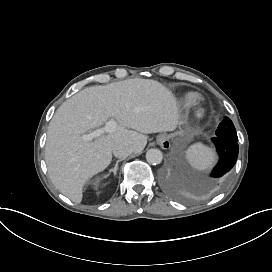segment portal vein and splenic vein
<instances>
[{"label":"portal vein and splenic vein","mask_w":272,"mask_h":272,"mask_svg":"<svg viewBox=\"0 0 272 272\" xmlns=\"http://www.w3.org/2000/svg\"><path fill=\"white\" fill-rule=\"evenodd\" d=\"M116 128V123L114 121H109L107 124H106V127H105V130L107 132H113ZM103 132L102 129H99V130H96L94 132H92L91 134L89 135H83V139L86 140V141H91L92 138H95V137H98L100 136V134Z\"/></svg>","instance_id":"18ae733b"}]
</instances>
